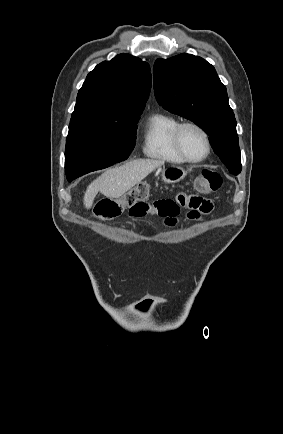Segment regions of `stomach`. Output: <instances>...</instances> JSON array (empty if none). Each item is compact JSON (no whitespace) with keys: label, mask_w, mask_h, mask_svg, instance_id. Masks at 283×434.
<instances>
[{"label":"stomach","mask_w":283,"mask_h":434,"mask_svg":"<svg viewBox=\"0 0 283 434\" xmlns=\"http://www.w3.org/2000/svg\"><path fill=\"white\" fill-rule=\"evenodd\" d=\"M163 175H166V178H163ZM187 172L178 166H171L167 168V171L161 172V178L165 183H176L185 178Z\"/></svg>","instance_id":"1"}]
</instances>
